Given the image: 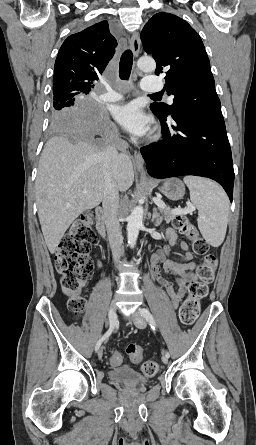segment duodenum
<instances>
[{"mask_svg":"<svg viewBox=\"0 0 256 445\" xmlns=\"http://www.w3.org/2000/svg\"><path fill=\"white\" fill-rule=\"evenodd\" d=\"M95 213H96V229L103 238H106V228L104 222L103 209L101 207H96Z\"/></svg>","mask_w":256,"mask_h":445,"instance_id":"obj_1","label":"duodenum"}]
</instances>
